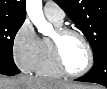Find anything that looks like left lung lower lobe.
<instances>
[{
  "label": "left lung lower lobe",
  "mask_w": 107,
  "mask_h": 89,
  "mask_svg": "<svg viewBox=\"0 0 107 89\" xmlns=\"http://www.w3.org/2000/svg\"><path fill=\"white\" fill-rule=\"evenodd\" d=\"M76 81L98 83L107 87V51L94 57L92 69Z\"/></svg>",
  "instance_id": "0a47b994"
}]
</instances>
